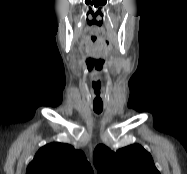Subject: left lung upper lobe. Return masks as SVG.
I'll return each instance as SVG.
<instances>
[{
  "label": "left lung upper lobe",
  "instance_id": "5c2ea615",
  "mask_svg": "<svg viewBox=\"0 0 187 174\" xmlns=\"http://www.w3.org/2000/svg\"><path fill=\"white\" fill-rule=\"evenodd\" d=\"M93 162L98 174H160L151 155L138 144L117 152L98 145L94 150Z\"/></svg>",
  "mask_w": 187,
  "mask_h": 174
}]
</instances>
